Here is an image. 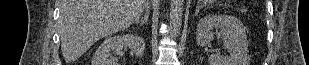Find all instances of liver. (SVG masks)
I'll use <instances>...</instances> for the list:
<instances>
[{"instance_id": "1", "label": "liver", "mask_w": 309, "mask_h": 65, "mask_svg": "<svg viewBox=\"0 0 309 65\" xmlns=\"http://www.w3.org/2000/svg\"><path fill=\"white\" fill-rule=\"evenodd\" d=\"M148 0H60L59 35L66 63L77 60L96 41L128 28Z\"/></svg>"}]
</instances>
